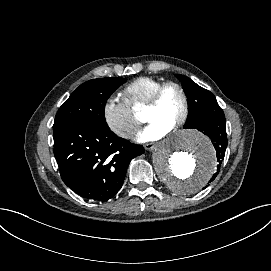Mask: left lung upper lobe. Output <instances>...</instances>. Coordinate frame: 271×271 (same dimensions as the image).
Listing matches in <instances>:
<instances>
[{
  "label": "left lung upper lobe",
  "instance_id": "obj_1",
  "mask_svg": "<svg viewBox=\"0 0 271 271\" xmlns=\"http://www.w3.org/2000/svg\"><path fill=\"white\" fill-rule=\"evenodd\" d=\"M183 85L189 101V113L184 128H197L208 113L220 108L213 93L200 87L188 77L175 75Z\"/></svg>",
  "mask_w": 271,
  "mask_h": 271
}]
</instances>
